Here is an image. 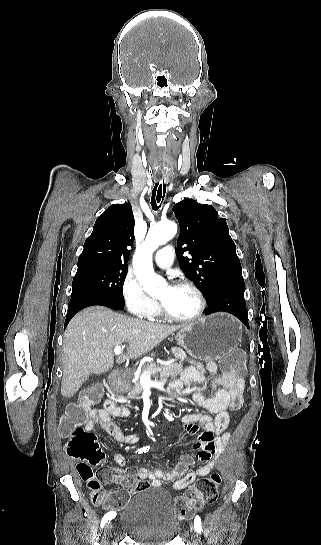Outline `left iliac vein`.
Returning a JSON list of instances; mask_svg holds the SVG:
<instances>
[{"label": "left iliac vein", "instance_id": "4c4485c4", "mask_svg": "<svg viewBox=\"0 0 321 545\" xmlns=\"http://www.w3.org/2000/svg\"><path fill=\"white\" fill-rule=\"evenodd\" d=\"M191 531H193V532L195 531V530H194V527H193V525H191ZM194 544H195V545H197V544H198L197 538H195V542H194Z\"/></svg>", "mask_w": 321, "mask_h": 545}]
</instances>
